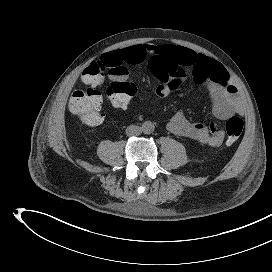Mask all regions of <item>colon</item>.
<instances>
[{
	"instance_id": "colon-1",
	"label": "colon",
	"mask_w": 272,
	"mask_h": 272,
	"mask_svg": "<svg viewBox=\"0 0 272 272\" xmlns=\"http://www.w3.org/2000/svg\"><path fill=\"white\" fill-rule=\"evenodd\" d=\"M108 71L112 75V81L106 87V95L115 108L127 106L135 96L136 86L126 80L127 70L121 66L107 67L99 61L92 62L82 73V82L87 86L85 89L73 92L69 109L86 125H96L101 122L102 97L97 89L105 78ZM243 120L237 116L231 117L225 124L227 144L232 145L240 137L243 131Z\"/></svg>"
}]
</instances>
